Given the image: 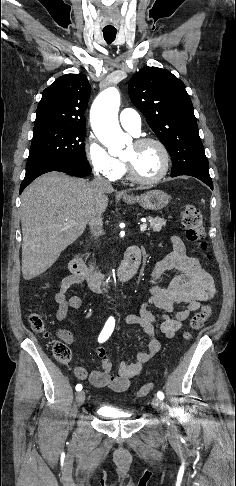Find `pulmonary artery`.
I'll return each mask as SVG.
<instances>
[{
	"instance_id": "e3ab8cb5",
	"label": "pulmonary artery",
	"mask_w": 236,
	"mask_h": 486,
	"mask_svg": "<svg viewBox=\"0 0 236 486\" xmlns=\"http://www.w3.org/2000/svg\"><path fill=\"white\" fill-rule=\"evenodd\" d=\"M119 121L125 130L129 131L133 135H139L141 130V118L134 109H123L119 115Z\"/></svg>"
}]
</instances>
